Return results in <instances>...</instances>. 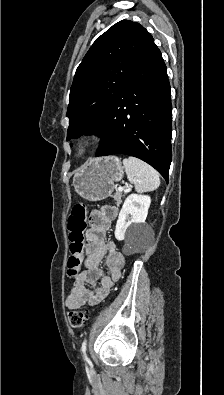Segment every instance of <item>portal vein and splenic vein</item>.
Masks as SVG:
<instances>
[{
	"label": "portal vein and splenic vein",
	"instance_id": "obj_1",
	"mask_svg": "<svg viewBox=\"0 0 224 395\" xmlns=\"http://www.w3.org/2000/svg\"><path fill=\"white\" fill-rule=\"evenodd\" d=\"M128 190H130V188L119 187V191H120V192H122V191H128Z\"/></svg>",
	"mask_w": 224,
	"mask_h": 395
}]
</instances>
